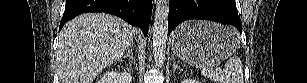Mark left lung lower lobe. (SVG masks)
<instances>
[{"label": "left lung lower lobe", "instance_id": "0a47b994", "mask_svg": "<svg viewBox=\"0 0 307 83\" xmlns=\"http://www.w3.org/2000/svg\"><path fill=\"white\" fill-rule=\"evenodd\" d=\"M190 19H203L221 24H232L240 32L235 0H171L168 17V33L180 23Z\"/></svg>", "mask_w": 307, "mask_h": 83}]
</instances>
